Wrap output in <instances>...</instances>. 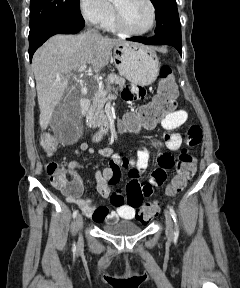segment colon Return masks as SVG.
Masks as SVG:
<instances>
[{
	"label": "colon",
	"mask_w": 240,
	"mask_h": 288,
	"mask_svg": "<svg viewBox=\"0 0 240 288\" xmlns=\"http://www.w3.org/2000/svg\"><path fill=\"white\" fill-rule=\"evenodd\" d=\"M178 89L169 66H162L156 94L150 102L139 107L135 112L125 116L123 126L127 129L150 128L161 121L176 107ZM41 145L48 155H52L58 148V143L50 134L41 137ZM51 184L68 196H78L82 192V182L71 174L59 162H49L46 167ZM196 171V160L187 150H183L177 162V173L169 184L166 194L174 196L185 189ZM127 203L135 208V217L140 222H148L156 217L160 211V204L156 201L143 203V198L136 190H131L126 196Z\"/></svg>",
	"instance_id": "obj_1"
}]
</instances>
